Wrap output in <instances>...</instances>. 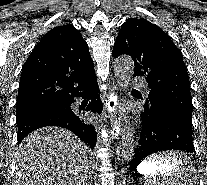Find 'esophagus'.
<instances>
[{
    "mask_svg": "<svg viewBox=\"0 0 207 185\" xmlns=\"http://www.w3.org/2000/svg\"><path fill=\"white\" fill-rule=\"evenodd\" d=\"M117 87L114 85L113 82V91L109 95V102H108V113L111 122V139L118 140L121 136L120 128H124V120L123 114H120V110H118V97L115 91Z\"/></svg>",
    "mask_w": 207,
    "mask_h": 185,
    "instance_id": "34e87169",
    "label": "esophagus"
}]
</instances>
